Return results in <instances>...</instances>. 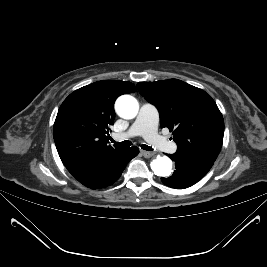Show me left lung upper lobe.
<instances>
[{
	"label": "left lung upper lobe",
	"mask_w": 267,
	"mask_h": 267,
	"mask_svg": "<svg viewBox=\"0 0 267 267\" xmlns=\"http://www.w3.org/2000/svg\"><path fill=\"white\" fill-rule=\"evenodd\" d=\"M137 88L157 107L161 127L173 131L177 150L216 160L223 142L224 121L205 91L178 79L140 82Z\"/></svg>",
	"instance_id": "obj_1"
}]
</instances>
